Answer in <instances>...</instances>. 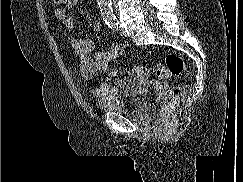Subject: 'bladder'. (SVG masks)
Listing matches in <instances>:
<instances>
[{"mask_svg":"<svg viewBox=\"0 0 243 182\" xmlns=\"http://www.w3.org/2000/svg\"><path fill=\"white\" fill-rule=\"evenodd\" d=\"M145 99L137 92L124 96H108L96 102V107L105 113L140 115L146 109Z\"/></svg>","mask_w":243,"mask_h":182,"instance_id":"bladder-1","label":"bladder"}]
</instances>
